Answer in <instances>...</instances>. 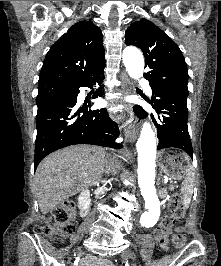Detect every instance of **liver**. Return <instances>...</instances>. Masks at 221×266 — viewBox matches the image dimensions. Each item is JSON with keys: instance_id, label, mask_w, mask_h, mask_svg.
Returning a JSON list of instances; mask_svg holds the SVG:
<instances>
[{"instance_id": "6515ba94", "label": "liver", "mask_w": 221, "mask_h": 266, "mask_svg": "<svg viewBox=\"0 0 221 266\" xmlns=\"http://www.w3.org/2000/svg\"><path fill=\"white\" fill-rule=\"evenodd\" d=\"M107 157L102 147L74 145L43 159L34 178L42 214H47L74 194L98 183L105 171Z\"/></svg>"}]
</instances>
